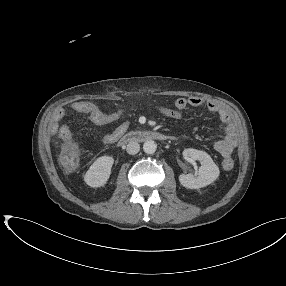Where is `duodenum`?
Returning <instances> with one entry per match:
<instances>
[{
	"mask_svg": "<svg viewBox=\"0 0 286 286\" xmlns=\"http://www.w3.org/2000/svg\"><path fill=\"white\" fill-rule=\"evenodd\" d=\"M175 139L176 137L174 136L166 135L160 132L141 130V131H134L123 136L119 140V144L125 145L131 142H146L150 140L165 141V140H175Z\"/></svg>",
	"mask_w": 286,
	"mask_h": 286,
	"instance_id": "obj_1",
	"label": "duodenum"
}]
</instances>
